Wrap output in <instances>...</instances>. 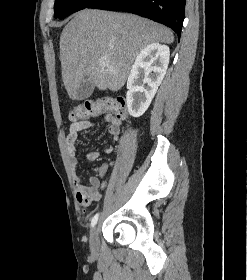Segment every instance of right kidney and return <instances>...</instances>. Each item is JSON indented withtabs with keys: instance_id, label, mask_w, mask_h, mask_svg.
<instances>
[{
	"instance_id": "1",
	"label": "right kidney",
	"mask_w": 247,
	"mask_h": 280,
	"mask_svg": "<svg viewBox=\"0 0 247 280\" xmlns=\"http://www.w3.org/2000/svg\"><path fill=\"white\" fill-rule=\"evenodd\" d=\"M169 57V47L159 43L147 45L137 55L127 80L126 100L131 116L140 117L148 109L166 74Z\"/></svg>"
}]
</instances>
